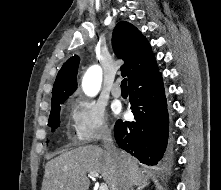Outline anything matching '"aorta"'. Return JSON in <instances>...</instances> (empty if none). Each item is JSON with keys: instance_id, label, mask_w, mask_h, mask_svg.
<instances>
[{"instance_id": "aorta-1", "label": "aorta", "mask_w": 221, "mask_h": 190, "mask_svg": "<svg viewBox=\"0 0 221 190\" xmlns=\"http://www.w3.org/2000/svg\"><path fill=\"white\" fill-rule=\"evenodd\" d=\"M102 70L99 66L95 65L90 67L85 73L82 81V88L86 95L95 96L101 87Z\"/></svg>"}]
</instances>
